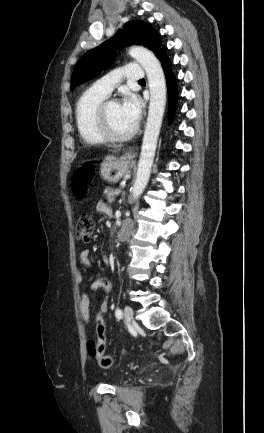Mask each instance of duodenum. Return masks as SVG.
<instances>
[{
  "label": "duodenum",
  "instance_id": "1",
  "mask_svg": "<svg viewBox=\"0 0 264 433\" xmlns=\"http://www.w3.org/2000/svg\"><path fill=\"white\" fill-rule=\"evenodd\" d=\"M121 236H122V232H120V234H119L118 238H121Z\"/></svg>",
  "mask_w": 264,
  "mask_h": 433
}]
</instances>
